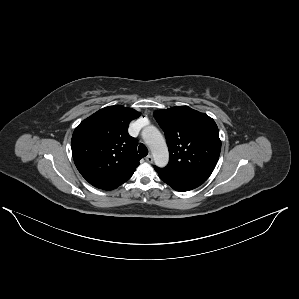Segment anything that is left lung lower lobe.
Masks as SVG:
<instances>
[{
    "mask_svg": "<svg viewBox=\"0 0 299 299\" xmlns=\"http://www.w3.org/2000/svg\"><path fill=\"white\" fill-rule=\"evenodd\" d=\"M157 173L159 174V177L166 184L171 186L174 190L180 191V192L195 189L204 182V181H194V180H175V179H170V178L164 177L159 172H157Z\"/></svg>",
    "mask_w": 299,
    "mask_h": 299,
    "instance_id": "obj_1",
    "label": "left lung lower lobe"
}]
</instances>
